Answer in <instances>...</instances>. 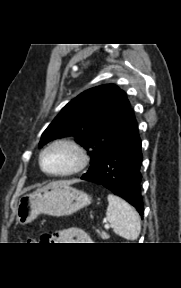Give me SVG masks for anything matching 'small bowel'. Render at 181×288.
<instances>
[{
    "instance_id": "obj_1",
    "label": "small bowel",
    "mask_w": 181,
    "mask_h": 288,
    "mask_svg": "<svg viewBox=\"0 0 181 288\" xmlns=\"http://www.w3.org/2000/svg\"><path fill=\"white\" fill-rule=\"evenodd\" d=\"M90 236L79 228H68L57 231L52 235L44 236L43 241L47 243H89Z\"/></svg>"
}]
</instances>
